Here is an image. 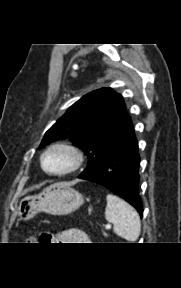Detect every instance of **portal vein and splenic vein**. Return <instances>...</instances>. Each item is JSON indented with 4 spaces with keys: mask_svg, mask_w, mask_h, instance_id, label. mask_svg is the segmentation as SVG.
Masks as SVG:
<instances>
[{
    "mask_svg": "<svg viewBox=\"0 0 181 288\" xmlns=\"http://www.w3.org/2000/svg\"><path fill=\"white\" fill-rule=\"evenodd\" d=\"M106 229H110L111 228V224L107 223L105 226Z\"/></svg>",
    "mask_w": 181,
    "mask_h": 288,
    "instance_id": "obj_1",
    "label": "portal vein and splenic vein"
}]
</instances>
